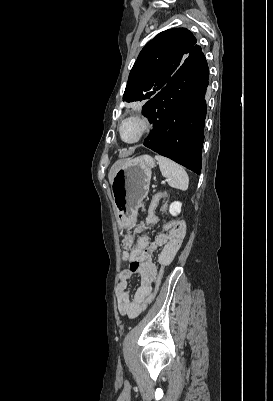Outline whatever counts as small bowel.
Returning <instances> with one entry per match:
<instances>
[{
  "instance_id": "obj_1",
  "label": "small bowel",
  "mask_w": 273,
  "mask_h": 401,
  "mask_svg": "<svg viewBox=\"0 0 273 401\" xmlns=\"http://www.w3.org/2000/svg\"><path fill=\"white\" fill-rule=\"evenodd\" d=\"M147 221L155 224L157 217L150 215ZM167 229L170 234L169 225H167ZM140 231L141 228L125 235L122 258L128 262V267L120 272L119 283L115 290L119 312L129 318L138 317L153 300L152 289L157 280V269L152 261L153 253L158 247L164 245L159 260L160 262L165 260L169 264L181 245V241H170L169 235L161 234L152 241L146 236L137 237L136 235ZM140 271H153L154 283L139 284L134 294L131 295L128 289L129 282L133 277L138 276Z\"/></svg>"
}]
</instances>
